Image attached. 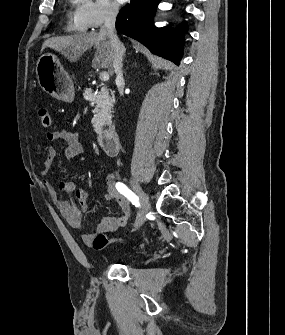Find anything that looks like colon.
I'll use <instances>...</instances> for the list:
<instances>
[{
	"label": "colon",
	"instance_id": "5ec220e1",
	"mask_svg": "<svg viewBox=\"0 0 285 335\" xmlns=\"http://www.w3.org/2000/svg\"><path fill=\"white\" fill-rule=\"evenodd\" d=\"M38 117L43 127L48 128L51 126V115L47 108H40L38 111ZM115 240H117V237H112L108 234L100 233L93 238L91 244L95 250H102Z\"/></svg>",
	"mask_w": 285,
	"mask_h": 335
}]
</instances>
